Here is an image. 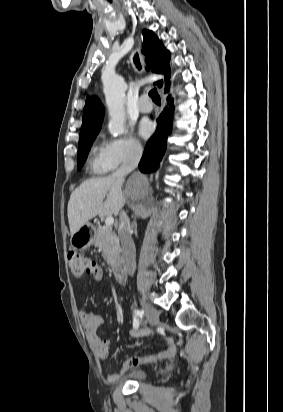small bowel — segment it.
I'll list each match as a JSON object with an SVG mask.
<instances>
[{
	"instance_id": "c3829d8e",
	"label": "small bowel",
	"mask_w": 283,
	"mask_h": 412,
	"mask_svg": "<svg viewBox=\"0 0 283 412\" xmlns=\"http://www.w3.org/2000/svg\"><path fill=\"white\" fill-rule=\"evenodd\" d=\"M88 273L91 274V276L96 282H100L103 276V270L99 264L96 265V268L94 270ZM78 315L96 361L99 364L104 363L108 357V353L111 346L110 341L101 340L98 334L100 327L104 324V317L96 313L88 312L86 310H80ZM148 333V328H144L139 332H132V334L135 336L146 335ZM176 352L177 348L174 341L171 338H167V346L163 350L159 351L157 354L135 356L125 360L121 366V374H124L134 366H138L145 363H151L156 360H165L173 358L176 355ZM108 381L114 382L115 378H108Z\"/></svg>"
}]
</instances>
